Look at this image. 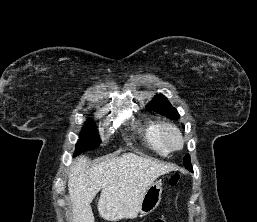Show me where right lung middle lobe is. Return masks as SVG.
<instances>
[{
  "instance_id": "dd1d6c3e",
  "label": "right lung middle lobe",
  "mask_w": 257,
  "mask_h": 222,
  "mask_svg": "<svg viewBox=\"0 0 257 222\" xmlns=\"http://www.w3.org/2000/svg\"><path fill=\"white\" fill-rule=\"evenodd\" d=\"M99 144L100 138L96 132V126L92 122L86 123L76 144L75 156L83 151L95 149Z\"/></svg>"
}]
</instances>
